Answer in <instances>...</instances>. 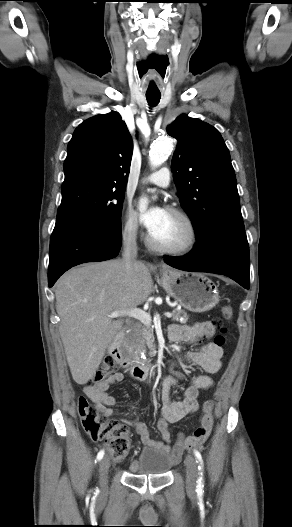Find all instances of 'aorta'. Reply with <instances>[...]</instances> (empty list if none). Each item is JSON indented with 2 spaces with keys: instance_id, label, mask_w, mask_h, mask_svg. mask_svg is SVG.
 Returning a JSON list of instances; mask_svg holds the SVG:
<instances>
[{
  "instance_id": "obj_1",
  "label": "aorta",
  "mask_w": 292,
  "mask_h": 527,
  "mask_svg": "<svg viewBox=\"0 0 292 527\" xmlns=\"http://www.w3.org/2000/svg\"><path fill=\"white\" fill-rule=\"evenodd\" d=\"M172 150V142L169 138L164 137L154 142L149 151L150 164L152 167L160 166L170 155ZM147 204L146 199H142L140 209H145Z\"/></svg>"
}]
</instances>
